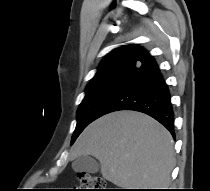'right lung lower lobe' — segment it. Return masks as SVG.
I'll return each instance as SVG.
<instances>
[{
	"mask_svg": "<svg viewBox=\"0 0 210 191\" xmlns=\"http://www.w3.org/2000/svg\"><path fill=\"white\" fill-rule=\"evenodd\" d=\"M118 110L148 114L175 137L174 113L168 85L153 57L142 48L130 58L121 76L99 105L95 119Z\"/></svg>",
	"mask_w": 210,
	"mask_h": 191,
	"instance_id": "98d812e1",
	"label": "right lung lower lobe"
}]
</instances>
